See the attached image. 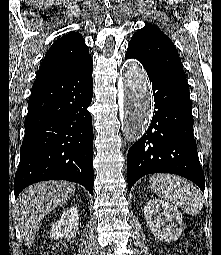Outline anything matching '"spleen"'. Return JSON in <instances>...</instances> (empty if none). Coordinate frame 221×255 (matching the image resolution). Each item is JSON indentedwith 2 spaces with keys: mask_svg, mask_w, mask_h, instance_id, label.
I'll use <instances>...</instances> for the list:
<instances>
[{
  "mask_svg": "<svg viewBox=\"0 0 221 255\" xmlns=\"http://www.w3.org/2000/svg\"><path fill=\"white\" fill-rule=\"evenodd\" d=\"M150 188L157 196L172 202L188 214H198L203 208L199 190L180 176L155 174L150 178Z\"/></svg>",
  "mask_w": 221,
  "mask_h": 255,
  "instance_id": "obj_1",
  "label": "spleen"
}]
</instances>
